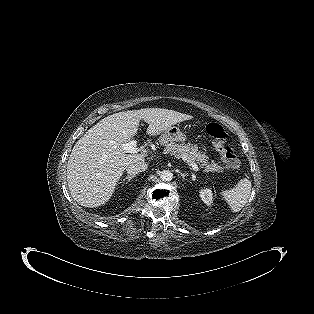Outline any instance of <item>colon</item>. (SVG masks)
<instances>
[{
  "label": "colon",
  "mask_w": 314,
  "mask_h": 314,
  "mask_svg": "<svg viewBox=\"0 0 314 314\" xmlns=\"http://www.w3.org/2000/svg\"><path fill=\"white\" fill-rule=\"evenodd\" d=\"M207 135L212 139L217 152L231 169L240 167V159L236 151L227 144L228 135L225 129L218 123H209L206 128Z\"/></svg>",
  "instance_id": "colon-1"
}]
</instances>
